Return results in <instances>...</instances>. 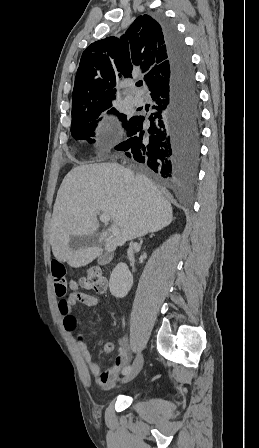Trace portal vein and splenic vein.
<instances>
[{
  "mask_svg": "<svg viewBox=\"0 0 259 448\" xmlns=\"http://www.w3.org/2000/svg\"><path fill=\"white\" fill-rule=\"evenodd\" d=\"M99 220H101V222H103V224H109L111 218H110V216H108V214H100ZM111 228H112V232H113L114 236H116V234H120V230H119V228H117V226H115V224H113V226H111Z\"/></svg>",
  "mask_w": 259,
  "mask_h": 448,
  "instance_id": "portal-vein-and-splenic-vein-1",
  "label": "portal vein and splenic vein"
}]
</instances>
